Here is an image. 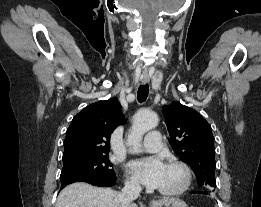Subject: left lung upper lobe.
<instances>
[{
    "mask_svg": "<svg viewBox=\"0 0 261 207\" xmlns=\"http://www.w3.org/2000/svg\"><path fill=\"white\" fill-rule=\"evenodd\" d=\"M162 113L172 148L191 166L199 186L216 187L214 137L209 123L197 111L178 102L164 105Z\"/></svg>",
    "mask_w": 261,
    "mask_h": 207,
    "instance_id": "obj_1",
    "label": "left lung upper lobe"
}]
</instances>
